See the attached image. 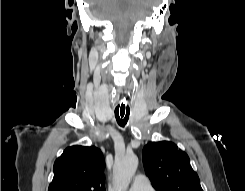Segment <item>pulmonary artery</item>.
I'll list each match as a JSON object with an SVG mask.
<instances>
[{
  "instance_id": "e3ab8cb5",
  "label": "pulmonary artery",
  "mask_w": 245,
  "mask_h": 191,
  "mask_svg": "<svg viewBox=\"0 0 245 191\" xmlns=\"http://www.w3.org/2000/svg\"><path fill=\"white\" fill-rule=\"evenodd\" d=\"M129 191H154V189L145 176L138 175L135 177Z\"/></svg>"
}]
</instances>
